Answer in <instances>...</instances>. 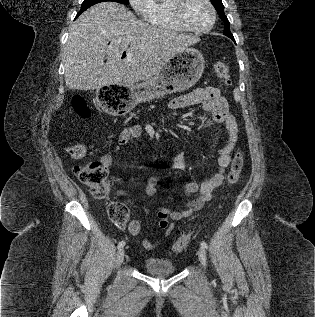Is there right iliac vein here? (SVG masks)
Here are the masks:
<instances>
[{
  "instance_id": "1",
  "label": "right iliac vein",
  "mask_w": 315,
  "mask_h": 317,
  "mask_svg": "<svg viewBox=\"0 0 315 317\" xmlns=\"http://www.w3.org/2000/svg\"><path fill=\"white\" fill-rule=\"evenodd\" d=\"M125 251L123 248L119 249L116 256V263L118 266H120L124 260Z\"/></svg>"
}]
</instances>
